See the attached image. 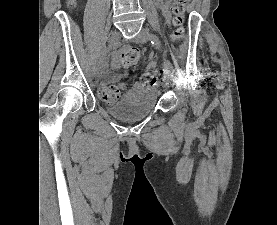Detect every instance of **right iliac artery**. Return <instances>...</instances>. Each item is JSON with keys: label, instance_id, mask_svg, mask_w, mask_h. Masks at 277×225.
I'll return each mask as SVG.
<instances>
[{"label": "right iliac artery", "instance_id": "right-iliac-artery-1", "mask_svg": "<svg viewBox=\"0 0 277 225\" xmlns=\"http://www.w3.org/2000/svg\"><path fill=\"white\" fill-rule=\"evenodd\" d=\"M110 49H111V47L109 46V47H104L101 50L97 68H99V69L101 68V66L103 65L104 61L106 60L107 54L109 53Z\"/></svg>", "mask_w": 277, "mask_h": 225}]
</instances>
